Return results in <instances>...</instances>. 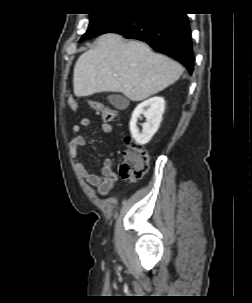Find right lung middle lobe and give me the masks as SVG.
<instances>
[{
    "instance_id": "dd1d6c3e",
    "label": "right lung middle lobe",
    "mask_w": 252,
    "mask_h": 303,
    "mask_svg": "<svg viewBox=\"0 0 252 303\" xmlns=\"http://www.w3.org/2000/svg\"><path fill=\"white\" fill-rule=\"evenodd\" d=\"M124 12L94 13L90 14L88 30L80 39V42L100 35L106 27L113 23Z\"/></svg>"
}]
</instances>
